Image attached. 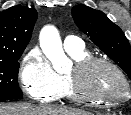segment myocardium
<instances>
[{
    "label": "myocardium",
    "mask_w": 131,
    "mask_h": 115,
    "mask_svg": "<svg viewBox=\"0 0 131 115\" xmlns=\"http://www.w3.org/2000/svg\"><path fill=\"white\" fill-rule=\"evenodd\" d=\"M96 65H104L115 71L125 86V96L122 98L110 99L88 90L87 75ZM70 91L77 100L91 102L101 105H116L123 103L131 94V88L128 79L123 71L112 61L96 56H90L84 60L75 63L72 71L68 74Z\"/></svg>",
    "instance_id": "f54148a6"
}]
</instances>
